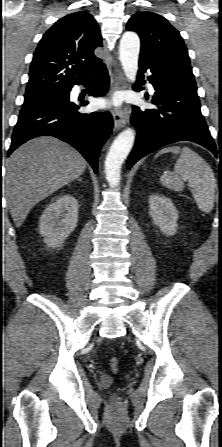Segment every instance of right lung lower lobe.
<instances>
[{
	"mask_svg": "<svg viewBox=\"0 0 222 447\" xmlns=\"http://www.w3.org/2000/svg\"><path fill=\"white\" fill-rule=\"evenodd\" d=\"M91 78L93 81H89ZM81 84L91 86V96L105 95L109 86L105 65L102 64ZM70 90L59 101L19 114L8 156L32 138L54 136L75 147L97 172L99 150L112 133V116L107 112L79 113L80 105L70 102ZM87 104L85 101L81 106Z\"/></svg>",
	"mask_w": 222,
	"mask_h": 447,
	"instance_id": "1",
	"label": "right lung lower lobe"
}]
</instances>
